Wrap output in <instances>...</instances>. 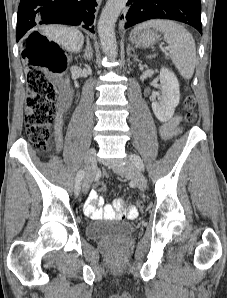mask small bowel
I'll use <instances>...</instances> for the list:
<instances>
[{
  "label": "small bowel",
  "mask_w": 227,
  "mask_h": 298,
  "mask_svg": "<svg viewBox=\"0 0 227 298\" xmlns=\"http://www.w3.org/2000/svg\"><path fill=\"white\" fill-rule=\"evenodd\" d=\"M66 106L62 105L60 109V114L56 120L55 132L56 139L61 140L62 136V120L61 113L65 110ZM181 117L179 115L174 116L169 121L161 124L160 133L164 139H170L179 132ZM96 205L98 207H96ZM84 213L86 216L92 219H101L102 217H115L122 218L125 215H130V213H138V208L130 207L127 211H123L122 203L120 200H116L112 205H104L103 198L99 197L96 190H92L89 193L88 199L84 205ZM135 214V215H136Z\"/></svg>",
  "instance_id": "1"
}]
</instances>
